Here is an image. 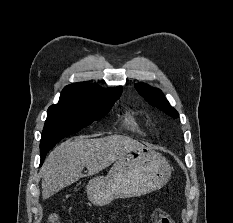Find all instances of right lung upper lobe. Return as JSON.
<instances>
[{
    "mask_svg": "<svg viewBox=\"0 0 233 223\" xmlns=\"http://www.w3.org/2000/svg\"><path fill=\"white\" fill-rule=\"evenodd\" d=\"M122 93V87L103 89L97 84L74 83L66 86L59 101H70L88 104H114Z\"/></svg>",
    "mask_w": 233,
    "mask_h": 223,
    "instance_id": "1",
    "label": "right lung upper lobe"
}]
</instances>
